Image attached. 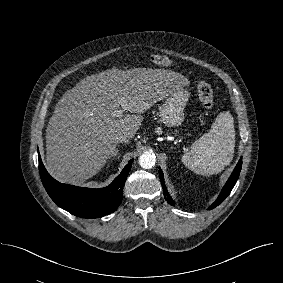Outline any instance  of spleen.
I'll list each match as a JSON object with an SVG mask.
<instances>
[{
	"instance_id": "3e777b00",
	"label": "spleen",
	"mask_w": 283,
	"mask_h": 283,
	"mask_svg": "<svg viewBox=\"0 0 283 283\" xmlns=\"http://www.w3.org/2000/svg\"><path fill=\"white\" fill-rule=\"evenodd\" d=\"M235 148L234 120L230 112L220 113L208 133L196 140L182 156L183 164L201 175L221 172L233 159Z\"/></svg>"
}]
</instances>
